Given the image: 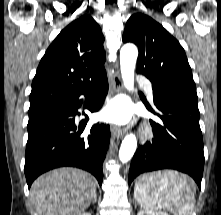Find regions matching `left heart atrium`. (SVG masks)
<instances>
[{
	"label": "left heart atrium",
	"mask_w": 221,
	"mask_h": 215,
	"mask_svg": "<svg viewBox=\"0 0 221 215\" xmlns=\"http://www.w3.org/2000/svg\"><path fill=\"white\" fill-rule=\"evenodd\" d=\"M130 115L129 106L122 100L113 101L101 114L103 119L116 123L127 122L130 119Z\"/></svg>",
	"instance_id": "1"
}]
</instances>
